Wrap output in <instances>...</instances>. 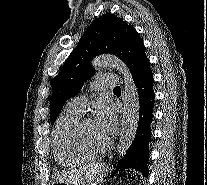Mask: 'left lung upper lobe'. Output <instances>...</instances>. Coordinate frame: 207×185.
<instances>
[{"mask_svg":"<svg viewBox=\"0 0 207 185\" xmlns=\"http://www.w3.org/2000/svg\"><path fill=\"white\" fill-rule=\"evenodd\" d=\"M104 53L117 55L128 66L133 77L150 66L144 44L135 28L112 14L100 16L87 28L62 71L51 81V124L65 102L77 95L85 80L94 74L91 60Z\"/></svg>","mask_w":207,"mask_h":185,"instance_id":"left-lung-upper-lobe-1","label":"left lung upper lobe"}]
</instances>
